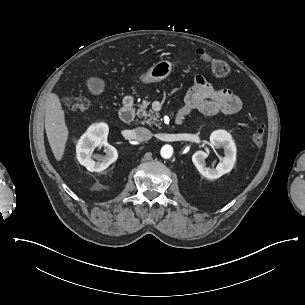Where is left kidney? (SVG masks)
I'll use <instances>...</instances> for the list:
<instances>
[{"mask_svg":"<svg viewBox=\"0 0 305 305\" xmlns=\"http://www.w3.org/2000/svg\"><path fill=\"white\" fill-rule=\"evenodd\" d=\"M210 144L216 150H224L223 161L216 168L213 166L208 168L205 162L208 153L203 150H198L193 154L192 162L202 176L208 179H217L232 170L236 160V149L230 135L222 130L212 133L210 136Z\"/></svg>","mask_w":305,"mask_h":305,"instance_id":"1","label":"left kidney"}]
</instances>
